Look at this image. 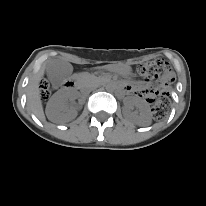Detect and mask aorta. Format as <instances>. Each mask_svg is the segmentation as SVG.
I'll return each mask as SVG.
<instances>
[{
    "instance_id": "762f6f07",
    "label": "aorta",
    "mask_w": 206,
    "mask_h": 206,
    "mask_svg": "<svg viewBox=\"0 0 206 206\" xmlns=\"http://www.w3.org/2000/svg\"><path fill=\"white\" fill-rule=\"evenodd\" d=\"M105 89L108 92H113L115 90V85L113 83H107V85L105 86Z\"/></svg>"
}]
</instances>
